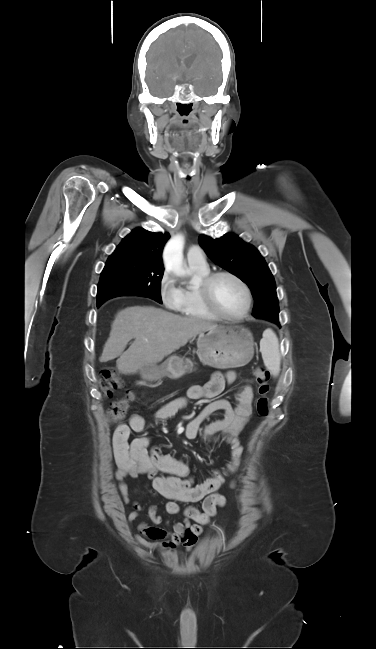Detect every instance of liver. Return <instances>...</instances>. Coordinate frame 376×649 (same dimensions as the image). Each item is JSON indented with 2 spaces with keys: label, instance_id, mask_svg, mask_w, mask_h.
<instances>
[{
  "label": "liver",
  "instance_id": "liver-1",
  "mask_svg": "<svg viewBox=\"0 0 376 649\" xmlns=\"http://www.w3.org/2000/svg\"><path fill=\"white\" fill-rule=\"evenodd\" d=\"M218 325L197 318L175 315L153 306H134L121 310L111 325L100 362L115 358L122 374H135L145 366H153L202 331ZM135 339L126 350L131 339Z\"/></svg>",
  "mask_w": 376,
  "mask_h": 649
}]
</instances>
